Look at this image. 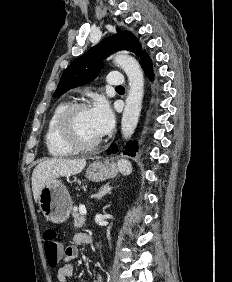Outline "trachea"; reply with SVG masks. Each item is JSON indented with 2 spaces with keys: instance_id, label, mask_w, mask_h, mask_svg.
Segmentation results:
<instances>
[{
  "instance_id": "1",
  "label": "trachea",
  "mask_w": 232,
  "mask_h": 282,
  "mask_svg": "<svg viewBox=\"0 0 232 282\" xmlns=\"http://www.w3.org/2000/svg\"><path fill=\"white\" fill-rule=\"evenodd\" d=\"M116 89H124L123 86H117Z\"/></svg>"
}]
</instances>
